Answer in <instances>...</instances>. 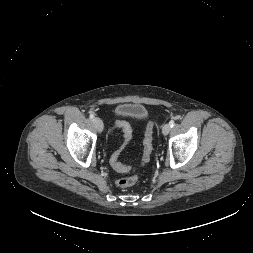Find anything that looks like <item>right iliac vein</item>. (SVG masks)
<instances>
[{
	"mask_svg": "<svg viewBox=\"0 0 253 253\" xmlns=\"http://www.w3.org/2000/svg\"><path fill=\"white\" fill-rule=\"evenodd\" d=\"M95 127L98 132H102L103 130V122L100 118L96 117L94 120Z\"/></svg>",
	"mask_w": 253,
	"mask_h": 253,
	"instance_id": "obj_1",
	"label": "right iliac vein"
}]
</instances>
